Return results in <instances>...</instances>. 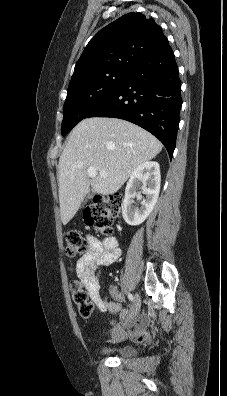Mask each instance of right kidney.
<instances>
[{"mask_svg": "<svg viewBox=\"0 0 227 396\" xmlns=\"http://www.w3.org/2000/svg\"><path fill=\"white\" fill-rule=\"evenodd\" d=\"M160 167L157 162L148 161L138 166L131 174L125 189V198L122 204V215L125 222L131 226L143 223L152 212L160 191ZM145 198L141 206L134 205V199Z\"/></svg>", "mask_w": 227, "mask_h": 396, "instance_id": "right-kidney-1", "label": "right kidney"}]
</instances>
